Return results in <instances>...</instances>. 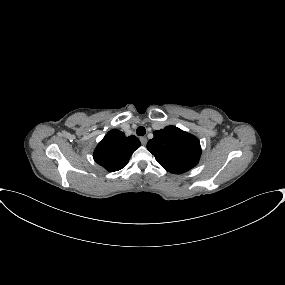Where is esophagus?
I'll return each instance as SVG.
<instances>
[{
  "mask_svg": "<svg viewBox=\"0 0 285 285\" xmlns=\"http://www.w3.org/2000/svg\"><path fill=\"white\" fill-rule=\"evenodd\" d=\"M140 141H141L142 145H146V143H147V138H146V137H141V138H140Z\"/></svg>",
  "mask_w": 285,
  "mask_h": 285,
  "instance_id": "34e87169",
  "label": "esophagus"
}]
</instances>
